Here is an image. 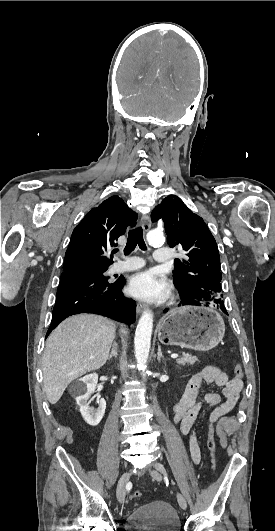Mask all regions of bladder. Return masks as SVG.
<instances>
[{
  "instance_id": "obj_1",
  "label": "bladder",
  "mask_w": 275,
  "mask_h": 531,
  "mask_svg": "<svg viewBox=\"0 0 275 531\" xmlns=\"http://www.w3.org/2000/svg\"><path fill=\"white\" fill-rule=\"evenodd\" d=\"M133 531H181V523L174 508L166 501H154L135 508L128 517Z\"/></svg>"
}]
</instances>
